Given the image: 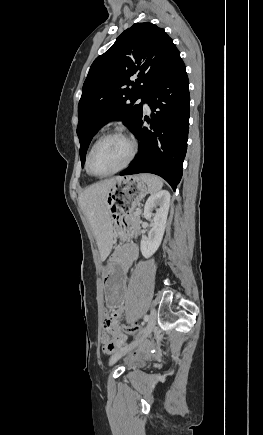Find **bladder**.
<instances>
[{"instance_id": "obj_1", "label": "bladder", "mask_w": 263, "mask_h": 435, "mask_svg": "<svg viewBox=\"0 0 263 435\" xmlns=\"http://www.w3.org/2000/svg\"><path fill=\"white\" fill-rule=\"evenodd\" d=\"M143 360L141 358H132L128 361L129 365H137L142 363Z\"/></svg>"}]
</instances>
